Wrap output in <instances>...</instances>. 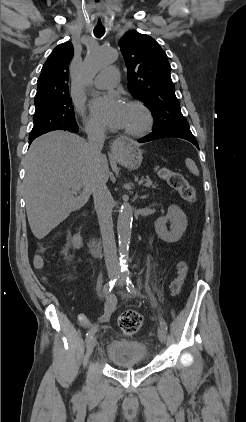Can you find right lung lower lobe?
<instances>
[{
  "mask_svg": "<svg viewBox=\"0 0 246 422\" xmlns=\"http://www.w3.org/2000/svg\"><path fill=\"white\" fill-rule=\"evenodd\" d=\"M66 131L72 132V133H76L78 132V126L72 128V129H67ZM35 138L29 139V144H31V142L34 140Z\"/></svg>",
  "mask_w": 246,
  "mask_h": 422,
  "instance_id": "98d812e1",
  "label": "right lung lower lobe"
}]
</instances>
